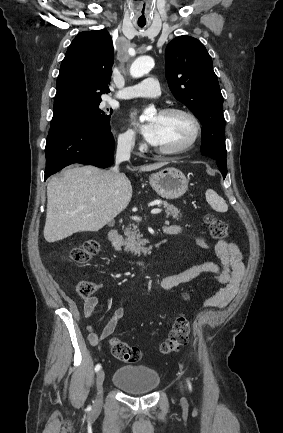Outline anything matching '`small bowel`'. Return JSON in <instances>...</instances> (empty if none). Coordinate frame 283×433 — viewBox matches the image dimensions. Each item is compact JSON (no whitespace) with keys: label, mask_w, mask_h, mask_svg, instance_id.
Wrapping results in <instances>:
<instances>
[{"label":"small bowel","mask_w":283,"mask_h":433,"mask_svg":"<svg viewBox=\"0 0 283 433\" xmlns=\"http://www.w3.org/2000/svg\"><path fill=\"white\" fill-rule=\"evenodd\" d=\"M169 234H180L183 228L178 225L166 227ZM195 242L201 248H208V245L201 237L195 236ZM219 263L205 262L192 266L180 273L168 275L161 279L160 288L170 290L179 285L188 283L201 274L209 273L215 276L223 288L216 294L206 299L203 307H225L236 295L245 274L243 253L235 244L227 241H218L214 247ZM98 305V298L90 296L84 300L83 314L90 321L94 310ZM124 309L116 308L101 332H97L91 322L87 326L88 339L92 345H97L108 338L116 329L118 322L124 317Z\"/></svg>","instance_id":"small-bowel-1"}]
</instances>
